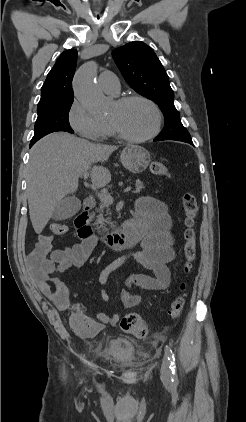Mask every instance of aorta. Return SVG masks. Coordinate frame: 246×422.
Here are the masks:
<instances>
[{
	"label": "aorta",
	"mask_w": 246,
	"mask_h": 422,
	"mask_svg": "<svg viewBox=\"0 0 246 422\" xmlns=\"http://www.w3.org/2000/svg\"><path fill=\"white\" fill-rule=\"evenodd\" d=\"M97 64L94 61L84 64L73 79L74 95L90 114L100 116L106 113L102 92L96 85Z\"/></svg>",
	"instance_id": "aorta-1"
}]
</instances>
